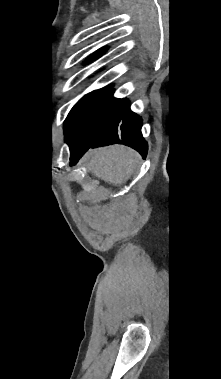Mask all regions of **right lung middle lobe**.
<instances>
[{"label": "right lung middle lobe", "instance_id": "1", "mask_svg": "<svg viewBox=\"0 0 221 379\" xmlns=\"http://www.w3.org/2000/svg\"><path fill=\"white\" fill-rule=\"evenodd\" d=\"M120 99L107 87L85 95L70 111L64 124L68 143L94 141L113 118Z\"/></svg>", "mask_w": 221, "mask_h": 379}]
</instances>
